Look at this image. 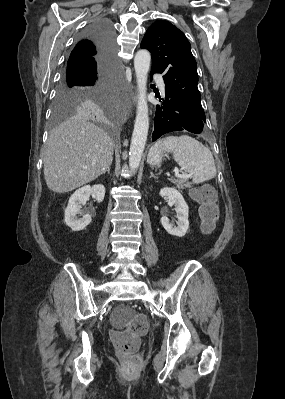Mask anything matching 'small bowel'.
I'll return each instance as SVG.
<instances>
[{"label":"small bowel","mask_w":285,"mask_h":399,"mask_svg":"<svg viewBox=\"0 0 285 399\" xmlns=\"http://www.w3.org/2000/svg\"><path fill=\"white\" fill-rule=\"evenodd\" d=\"M208 189H210V190H212V188L211 187H209V186H206ZM213 191V190H212Z\"/></svg>","instance_id":"c3829d8e"}]
</instances>
